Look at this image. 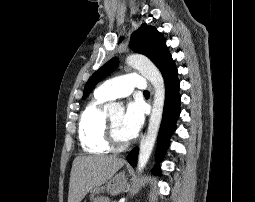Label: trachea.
Instances as JSON below:
<instances>
[{"label": "trachea", "instance_id": "1", "mask_svg": "<svg viewBox=\"0 0 255 202\" xmlns=\"http://www.w3.org/2000/svg\"><path fill=\"white\" fill-rule=\"evenodd\" d=\"M144 95H150L149 91H144Z\"/></svg>", "mask_w": 255, "mask_h": 202}]
</instances>
